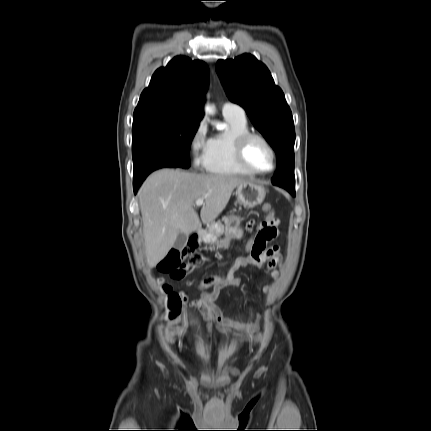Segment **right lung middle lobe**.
<instances>
[{
    "label": "right lung middle lobe",
    "mask_w": 431,
    "mask_h": 431,
    "mask_svg": "<svg viewBox=\"0 0 431 431\" xmlns=\"http://www.w3.org/2000/svg\"><path fill=\"white\" fill-rule=\"evenodd\" d=\"M199 121L171 117L134 118L132 155L134 167L154 156L173 160L182 168L190 165L189 150Z\"/></svg>",
    "instance_id": "1"
}]
</instances>
